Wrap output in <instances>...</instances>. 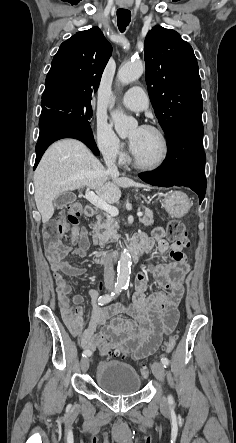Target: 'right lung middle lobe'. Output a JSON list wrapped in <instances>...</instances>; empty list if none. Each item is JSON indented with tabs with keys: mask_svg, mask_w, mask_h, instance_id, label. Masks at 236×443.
Here are the masks:
<instances>
[{
	"mask_svg": "<svg viewBox=\"0 0 236 443\" xmlns=\"http://www.w3.org/2000/svg\"><path fill=\"white\" fill-rule=\"evenodd\" d=\"M41 104L42 111L59 110L69 115L73 120L90 127L89 120L92 117L90 99L73 95H57L46 99Z\"/></svg>",
	"mask_w": 236,
	"mask_h": 443,
	"instance_id": "dd1d6c3e",
	"label": "right lung middle lobe"
}]
</instances>
